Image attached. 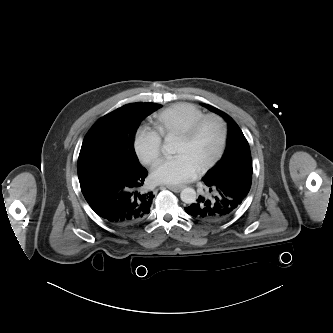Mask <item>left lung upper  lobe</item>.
<instances>
[{
  "instance_id": "1",
  "label": "left lung upper lobe",
  "mask_w": 333,
  "mask_h": 333,
  "mask_svg": "<svg viewBox=\"0 0 333 333\" xmlns=\"http://www.w3.org/2000/svg\"><path fill=\"white\" fill-rule=\"evenodd\" d=\"M202 105L222 116L227 121L230 129V140L226 152L217 164L206 173V176L216 180L232 173L252 176L250 147L239 126L221 110L207 104Z\"/></svg>"
}]
</instances>
